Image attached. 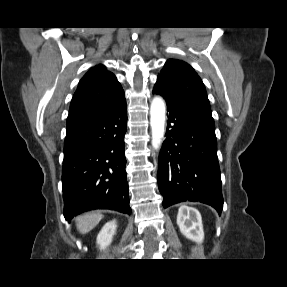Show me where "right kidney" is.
Instances as JSON below:
<instances>
[{
	"mask_svg": "<svg viewBox=\"0 0 287 287\" xmlns=\"http://www.w3.org/2000/svg\"><path fill=\"white\" fill-rule=\"evenodd\" d=\"M116 221H110L106 223L97 236V244L100 249H105L113 239L114 234L116 233Z\"/></svg>",
	"mask_w": 287,
	"mask_h": 287,
	"instance_id": "obj_1",
	"label": "right kidney"
}]
</instances>
